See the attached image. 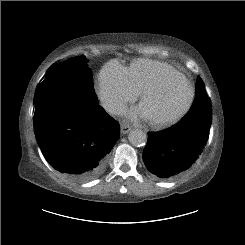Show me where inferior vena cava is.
I'll return each mask as SVG.
<instances>
[{"label":"inferior vena cava","instance_id":"obj_1","mask_svg":"<svg viewBox=\"0 0 245 245\" xmlns=\"http://www.w3.org/2000/svg\"><path fill=\"white\" fill-rule=\"evenodd\" d=\"M104 109L111 114L122 115L126 112V106L120 101H106L103 103Z\"/></svg>","mask_w":245,"mask_h":245}]
</instances>
